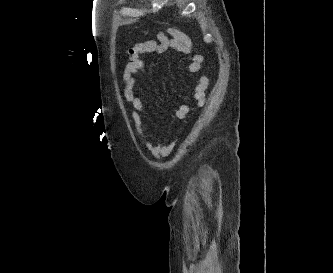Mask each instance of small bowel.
Here are the masks:
<instances>
[{"label":"small bowel","mask_w":333,"mask_h":273,"mask_svg":"<svg viewBox=\"0 0 333 273\" xmlns=\"http://www.w3.org/2000/svg\"><path fill=\"white\" fill-rule=\"evenodd\" d=\"M170 49L178 50L183 54L190 55L191 59L188 65V70L196 74L200 72L203 57L196 52L190 37L176 28H168L166 32H158L157 40H146L132 46L128 50V62L125 65L122 74V82L124 86L123 95L125 100L132 105L131 117L135 132L142 140L146 149L156 159L165 156L168 149L171 148V145H161L146 134L142 117V101L134 92L137 85L135 75L147 71V66L143 60L144 55L154 52L164 53ZM207 86V77L200 75L197 82L190 89V93L196 105L199 107L204 104L205 90ZM187 109V106L184 105L179 107L176 111L177 117H185Z\"/></svg>","instance_id":"small-bowel-1"}]
</instances>
